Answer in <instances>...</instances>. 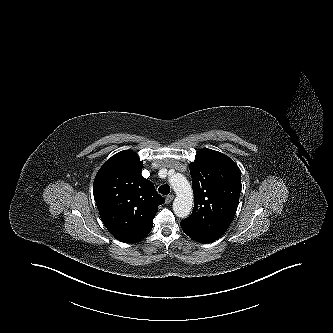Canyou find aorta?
<instances>
[{"label":"aorta","mask_w":333,"mask_h":333,"mask_svg":"<svg viewBox=\"0 0 333 333\" xmlns=\"http://www.w3.org/2000/svg\"><path fill=\"white\" fill-rule=\"evenodd\" d=\"M170 184L176 193L173 202L174 214L179 218H186L193 206V191L190 183L182 174H175L170 178Z\"/></svg>","instance_id":"1"}]
</instances>
